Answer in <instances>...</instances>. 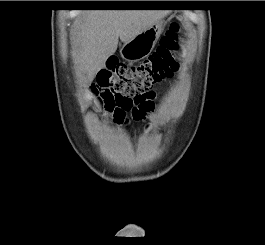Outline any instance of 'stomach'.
Returning <instances> with one entry per match:
<instances>
[{
    "instance_id": "obj_1",
    "label": "stomach",
    "mask_w": 265,
    "mask_h": 245,
    "mask_svg": "<svg viewBox=\"0 0 265 245\" xmlns=\"http://www.w3.org/2000/svg\"><path fill=\"white\" fill-rule=\"evenodd\" d=\"M163 28L164 21L160 19L132 40L124 43L120 49L122 58L128 62H137L147 57L155 47Z\"/></svg>"
}]
</instances>
